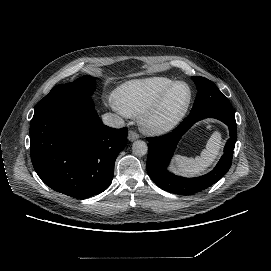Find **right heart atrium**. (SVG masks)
I'll use <instances>...</instances> for the list:
<instances>
[{"label":"right heart atrium","instance_id":"right-heart-atrium-1","mask_svg":"<svg viewBox=\"0 0 271 271\" xmlns=\"http://www.w3.org/2000/svg\"><path fill=\"white\" fill-rule=\"evenodd\" d=\"M113 103L115 104L116 108H117L119 111H121V109H120V107H119V104H118L115 100H113Z\"/></svg>","mask_w":271,"mask_h":271}]
</instances>
